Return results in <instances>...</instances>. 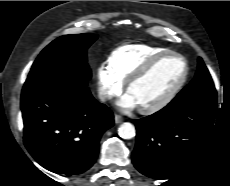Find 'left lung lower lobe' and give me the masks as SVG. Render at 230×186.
Wrapping results in <instances>:
<instances>
[{
  "mask_svg": "<svg viewBox=\"0 0 230 186\" xmlns=\"http://www.w3.org/2000/svg\"><path fill=\"white\" fill-rule=\"evenodd\" d=\"M216 111V93H205L172 100L162 110L136 120L134 166L151 178H171L195 157L211 131Z\"/></svg>",
  "mask_w": 230,
  "mask_h": 186,
  "instance_id": "obj_1",
  "label": "left lung lower lobe"
}]
</instances>
